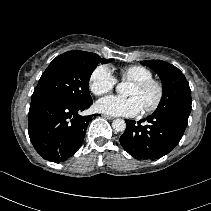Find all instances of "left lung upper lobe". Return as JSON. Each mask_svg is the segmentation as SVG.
Instances as JSON below:
<instances>
[{
    "instance_id": "5c2ea615",
    "label": "left lung upper lobe",
    "mask_w": 211,
    "mask_h": 211,
    "mask_svg": "<svg viewBox=\"0 0 211 211\" xmlns=\"http://www.w3.org/2000/svg\"><path fill=\"white\" fill-rule=\"evenodd\" d=\"M141 63L153 69L162 81L163 95L155 112L174 111L188 117L191 112V91L184 74L162 60Z\"/></svg>"
}]
</instances>
